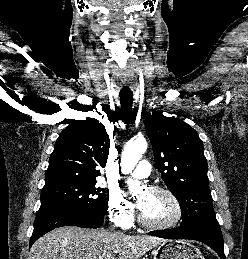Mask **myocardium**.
I'll list each match as a JSON object with an SVG mask.
<instances>
[{"label": "myocardium", "mask_w": 248, "mask_h": 259, "mask_svg": "<svg viewBox=\"0 0 248 259\" xmlns=\"http://www.w3.org/2000/svg\"><path fill=\"white\" fill-rule=\"evenodd\" d=\"M150 191L154 193H161L167 196L174 206L175 213L173 218L165 223H150L143 218L140 212L138 215L139 224L142 227L151 230H167L175 227L181 221L183 216L182 205L177 196L171 190L162 186H153L150 188Z\"/></svg>", "instance_id": "obj_1"}]
</instances>
